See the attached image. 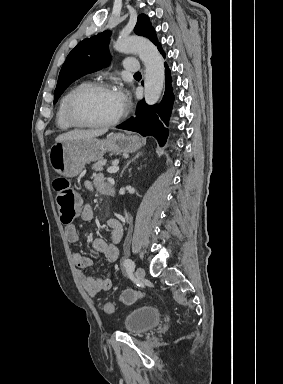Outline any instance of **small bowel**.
Here are the masks:
<instances>
[{"instance_id": "small-bowel-1", "label": "small bowel", "mask_w": 283, "mask_h": 384, "mask_svg": "<svg viewBox=\"0 0 283 384\" xmlns=\"http://www.w3.org/2000/svg\"><path fill=\"white\" fill-rule=\"evenodd\" d=\"M108 183L103 175H95L90 181L86 182V187L92 191L106 193ZM93 209L90 204L81 207L80 217L84 222L91 221L93 218ZM107 227L111 231V241L107 242L102 238H95L92 241V249L95 253L102 255L106 261L113 263L119 256L118 244L123 237V225L116 218L107 221ZM65 236L70 243H78L80 234L76 227L69 224L65 227ZM74 265L79 269L78 278L84 290L92 297L103 291H108L112 287V276L107 274L104 278H95L86 275L83 270L93 265L94 260L88 255H83L75 251L72 255Z\"/></svg>"}]
</instances>
